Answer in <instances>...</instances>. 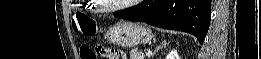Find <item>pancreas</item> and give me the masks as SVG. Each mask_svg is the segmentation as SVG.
Returning a JSON list of instances; mask_svg holds the SVG:
<instances>
[{
	"label": "pancreas",
	"mask_w": 261,
	"mask_h": 59,
	"mask_svg": "<svg viewBox=\"0 0 261 59\" xmlns=\"http://www.w3.org/2000/svg\"><path fill=\"white\" fill-rule=\"evenodd\" d=\"M130 59H147V57L142 51H137L135 49H132L130 51Z\"/></svg>",
	"instance_id": "pancreas-1"
}]
</instances>
